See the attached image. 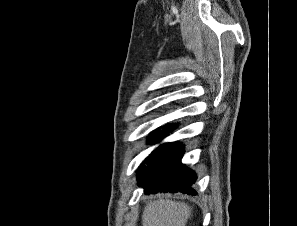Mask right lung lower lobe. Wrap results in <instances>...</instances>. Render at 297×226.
<instances>
[{"label": "right lung lower lobe", "mask_w": 297, "mask_h": 226, "mask_svg": "<svg viewBox=\"0 0 297 226\" xmlns=\"http://www.w3.org/2000/svg\"><path fill=\"white\" fill-rule=\"evenodd\" d=\"M175 127L166 125L165 131H161L154 141H158ZM168 131V132H166ZM184 150L177 142L165 143L154 150L145 160L147 167L141 164L138 170V185L144 188L145 194L158 192H182L189 195H196L191 188L195 182V173L183 166L181 158Z\"/></svg>", "instance_id": "98d812e1"}]
</instances>
